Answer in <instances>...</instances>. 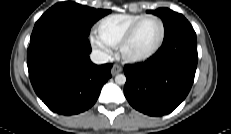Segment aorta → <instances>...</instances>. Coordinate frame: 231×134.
Returning a JSON list of instances; mask_svg holds the SVG:
<instances>
[{
    "label": "aorta",
    "instance_id": "obj_1",
    "mask_svg": "<svg viewBox=\"0 0 231 134\" xmlns=\"http://www.w3.org/2000/svg\"><path fill=\"white\" fill-rule=\"evenodd\" d=\"M115 82L119 85H124L126 83V76L124 74L116 75Z\"/></svg>",
    "mask_w": 231,
    "mask_h": 134
}]
</instances>
